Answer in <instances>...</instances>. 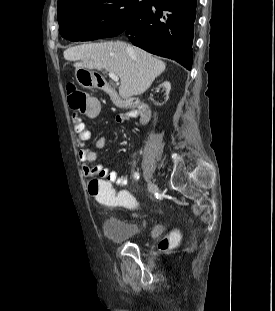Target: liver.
Here are the masks:
<instances>
[{"label": "liver", "instance_id": "1", "mask_svg": "<svg viewBox=\"0 0 275 311\" xmlns=\"http://www.w3.org/2000/svg\"><path fill=\"white\" fill-rule=\"evenodd\" d=\"M68 61L75 68L96 69L115 73L120 78L119 95L123 99L143 94L166 68L150 53L127 43H89L66 49Z\"/></svg>", "mask_w": 275, "mask_h": 311}]
</instances>
